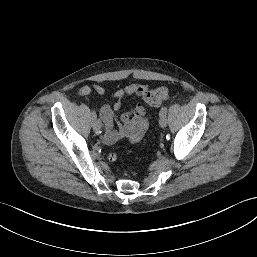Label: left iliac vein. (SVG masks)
Segmentation results:
<instances>
[{
  "instance_id": "left-iliac-vein-1",
  "label": "left iliac vein",
  "mask_w": 257,
  "mask_h": 257,
  "mask_svg": "<svg viewBox=\"0 0 257 257\" xmlns=\"http://www.w3.org/2000/svg\"><path fill=\"white\" fill-rule=\"evenodd\" d=\"M159 125H160L161 128H165L167 126L166 116L160 117Z\"/></svg>"
}]
</instances>
